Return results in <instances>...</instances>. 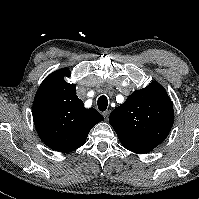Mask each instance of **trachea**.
I'll use <instances>...</instances> for the list:
<instances>
[{
	"label": "trachea",
	"mask_w": 199,
	"mask_h": 199,
	"mask_svg": "<svg viewBox=\"0 0 199 199\" xmlns=\"http://www.w3.org/2000/svg\"><path fill=\"white\" fill-rule=\"evenodd\" d=\"M97 105H98V109L100 111H105L107 109V106H108L107 97L105 95L100 96L98 98Z\"/></svg>",
	"instance_id": "obj_1"
}]
</instances>
